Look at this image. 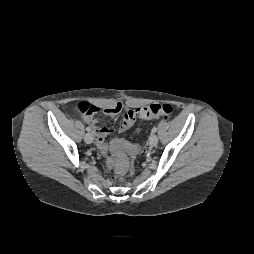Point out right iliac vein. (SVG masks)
Wrapping results in <instances>:
<instances>
[{
	"mask_svg": "<svg viewBox=\"0 0 254 254\" xmlns=\"http://www.w3.org/2000/svg\"><path fill=\"white\" fill-rule=\"evenodd\" d=\"M84 141L87 143V144H90L93 142V136L91 133H86L85 136H84Z\"/></svg>",
	"mask_w": 254,
	"mask_h": 254,
	"instance_id": "right-iliac-vein-1",
	"label": "right iliac vein"
}]
</instances>
